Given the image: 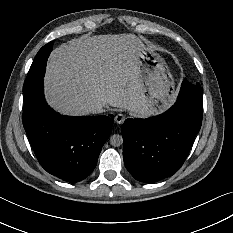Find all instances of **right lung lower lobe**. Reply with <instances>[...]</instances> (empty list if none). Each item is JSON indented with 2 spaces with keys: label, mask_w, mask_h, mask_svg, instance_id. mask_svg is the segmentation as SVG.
Wrapping results in <instances>:
<instances>
[{
  "label": "right lung lower lobe",
  "mask_w": 233,
  "mask_h": 233,
  "mask_svg": "<svg viewBox=\"0 0 233 233\" xmlns=\"http://www.w3.org/2000/svg\"><path fill=\"white\" fill-rule=\"evenodd\" d=\"M23 100V126L41 166L67 182L85 179L111 133L113 115L61 116L45 101L43 79L24 92Z\"/></svg>",
  "instance_id": "obj_1"
}]
</instances>
